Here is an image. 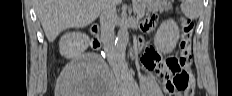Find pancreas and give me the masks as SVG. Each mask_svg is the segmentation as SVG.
I'll return each mask as SVG.
<instances>
[{
  "label": "pancreas",
  "mask_w": 232,
  "mask_h": 96,
  "mask_svg": "<svg viewBox=\"0 0 232 96\" xmlns=\"http://www.w3.org/2000/svg\"><path fill=\"white\" fill-rule=\"evenodd\" d=\"M171 9V5L170 4H164V3H160V2H149L146 5L142 6L139 11L138 14L141 11H146V13H150V12H163V11H168Z\"/></svg>",
  "instance_id": "obj_1"
}]
</instances>
